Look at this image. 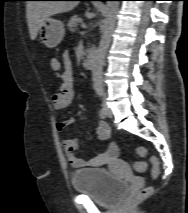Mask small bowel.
Listing matches in <instances>:
<instances>
[{
  "mask_svg": "<svg viewBox=\"0 0 188 213\" xmlns=\"http://www.w3.org/2000/svg\"><path fill=\"white\" fill-rule=\"evenodd\" d=\"M64 71L60 75L59 90L52 97L53 108L56 111L65 110L72 99V90L74 87L73 68L70 55L65 53L63 56ZM75 118H67L58 121L56 126L59 131H63L66 127L73 124ZM97 137L100 141H107L111 138V130L109 125L104 121L96 122ZM66 158L70 165L74 168L98 167L106 163H113L117 160L118 149L115 143H111L109 148L90 159H82L76 156L75 152L80 146L78 138L66 139L62 142Z\"/></svg>",
  "mask_w": 188,
  "mask_h": 213,
  "instance_id": "c3829d8e",
  "label": "small bowel"
}]
</instances>
